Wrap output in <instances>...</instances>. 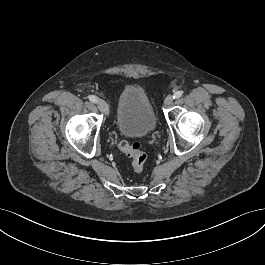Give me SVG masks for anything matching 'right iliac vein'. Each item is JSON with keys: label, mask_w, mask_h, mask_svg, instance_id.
<instances>
[{"label": "right iliac vein", "mask_w": 265, "mask_h": 265, "mask_svg": "<svg viewBox=\"0 0 265 265\" xmlns=\"http://www.w3.org/2000/svg\"><path fill=\"white\" fill-rule=\"evenodd\" d=\"M97 106L100 111H102L105 114H108L109 108H108L107 103L104 100L102 99L97 100Z\"/></svg>", "instance_id": "63e3f726"}]
</instances>
